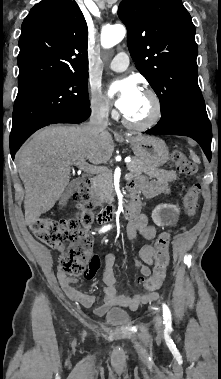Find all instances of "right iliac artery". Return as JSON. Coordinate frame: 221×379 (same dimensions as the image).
<instances>
[{
    "mask_svg": "<svg viewBox=\"0 0 221 379\" xmlns=\"http://www.w3.org/2000/svg\"><path fill=\"white\" fill-rule=\"evenodd\" d=\"M110 229H111V225H107V226H104V227L100 230V232L103 233V232H106V231H108V230H110Z\"/></svg>",
    "mask_w": 221,
    "mask_h": 379,
    "instance_id": "82829eb1",
    "label": "right iliac artery"
}]
</instances>
